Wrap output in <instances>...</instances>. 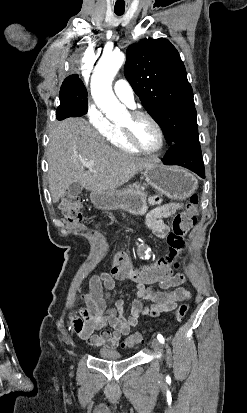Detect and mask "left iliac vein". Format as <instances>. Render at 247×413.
Returning a JSON list of instances; mask_svg holds the SVG:
<instances>
[{"instance_id": "4c4485c4", "label": "left iliac vein", "mask_w": 247, "mask_h": 413, "mask_svg": "<svg viewBox=\"0 0 247 413\" xmlns=\"http://www.w3.org/2000/svg\"><path fill=\"white\" fill-rule=\"evenodd\" d=\"M150 342H151V345H152L153 350H154L155 352H159L160 349H161L160 342H159L157 339H155V338H152Z\"/></svg>"}]
</instances>
